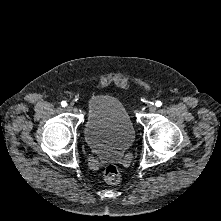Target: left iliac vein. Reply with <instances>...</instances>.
<instances>
[{
    "label": "left iliac vein",
    "mask_w": 221,
    "mask_h": 221,
    "mask_svg": "<svg viewBox=\"0 0 221 221\" xmlns=\"http://www.w3.org/2000/svg\"><path fill=\"white\" fill-rule=\"evenodd\" d=\"M149 111L150 112H155L156 111V106L154 104L149 106Z\"/></svg>",
    "instance_id": "obj_1"
}]
</instances>
